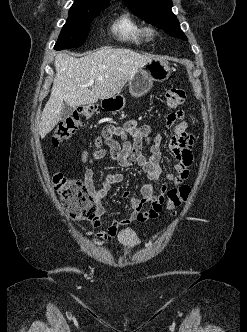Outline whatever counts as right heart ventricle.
<instances>
[{
    "label": "right heart ventricle",
    "mask_w": 247,
    "mask_h": 332,
    "mask_svg": "<svg viewBox=\"0 0 247 332\" xmlns=\"http://www.w3.org/2000/svg\"><path fill=\"white\" fill-rule=\"evenodd\" d=\"M114 36L125 43L142 45L146 42L145 28L129 15H122L111 26Z\"/></svg>",
    "instance_id": "e07e8e85"
}]
</instances>
